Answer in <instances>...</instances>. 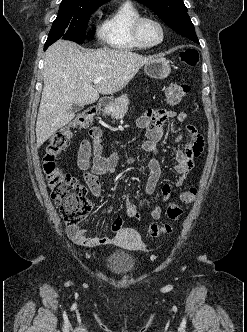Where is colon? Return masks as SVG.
I'll return each mask as SVG.
<instances>
[{
  "mask_svg": "<svg viewBox=\"0 0 247 332\" xmlns=\"http://www.w3.org/2000/svg\"><path fill=\"white\" fill-rule=\"evenodd\" d=\"M181 60L189 65L197 64L199 56L194 49H186L180 53ZM190 91L187 84L173 83L166 89V102L169 106L178 105ZM95 114L94 108H87L77 114L73 122L57 130L49 140L43 156V170L51 192V197L59 207L64 221L68 225H77L91 212L92 205L87 197L85 186L74 176L66 173L58 165L60 154L69 145L73 132L89 126ZM196 189L189 187L180 194V201L192 203L196 197ZM183 213L177 202H170L166 207V216L169 221L178 220ZM123 228L121 218H116L111 224L113 232L117 233ZM172 232L171 223L153 224L149 228L152 237H159Z\"/></svg>",
  "mask_w": 247,
  "mask_h": 332,
  "instance_id": "obj_1",
  "label": "colon"
}]
</instances>
